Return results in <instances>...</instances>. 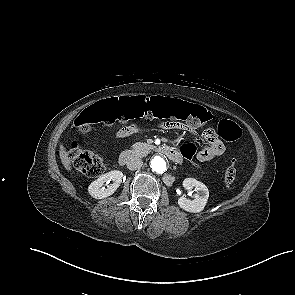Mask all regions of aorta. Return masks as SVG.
Returning a JSON list of instances; mask_svg holds the SVG:
<instances>
[{"label":"aorta","mask_w":295,"mask_h":295,"mask_svg":"<svg viewBox=\"0 0 295 295\" xmlns=\"http://www.w3.org/2000/svg\"><path fill=\"white\" fill-rule=\"evenodd\" d=\"M150 167L153 172L163 174L167 170V162L162 156H154L151 159Z\"/></svg>","instance_id":"obj_1"}]
</instances>
